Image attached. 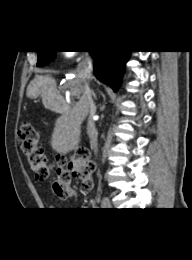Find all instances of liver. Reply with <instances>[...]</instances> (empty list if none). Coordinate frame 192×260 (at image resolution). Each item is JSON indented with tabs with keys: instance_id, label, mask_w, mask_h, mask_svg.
I'll return each instance as SVG.
<instances>
[{
	"instance_id": "obj_1",
	"label": "liver",
	"mask_w": 192,
	"mask_h": 260,
	"mask_svg": "<svg viewBox=\"0 0 192 260\" xmlns=\"http://www.w3.org/2000/svg\"><path fill=\"white\" fill-rule=\"evenodd\" d=\"M65 88L79 96L78 103L70 114H62L56 119L51 136V147L60 154H66L78 149L81 134V124L89 113L86 99L83 95V84L77 72L69 73ZM42 95L44 100L59 99L55 80L49 75H36L27 88V96L36 98Z\"/></svg>"
}]
</instances>
